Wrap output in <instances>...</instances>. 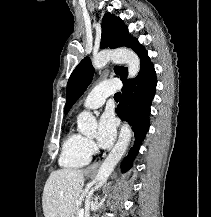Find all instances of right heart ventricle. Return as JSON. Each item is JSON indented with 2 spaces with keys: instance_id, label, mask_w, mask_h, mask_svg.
<instances>
[{
  "instance_id": "obj_1",
  "label": "right heart ventricle",
  "mask_w": 211,
  "mask_h": 217,
  "mask_svg": "<svg viewBox=\"0 0 211 217\" xmlns=\"http://www.w3.org/2000/svg\"><path fill=\"white\" fill-rule=\"evenodd\" d=\"M87 139L76 131H70L61 149L59 163L66 168H79L87 165L91 159L87 145Z\"/></svg>"
}]
</instances>
